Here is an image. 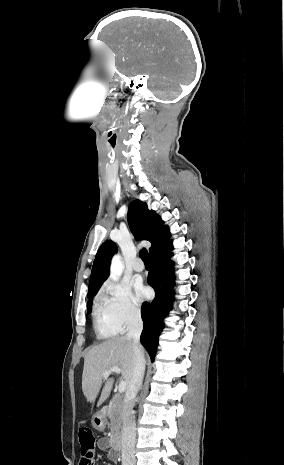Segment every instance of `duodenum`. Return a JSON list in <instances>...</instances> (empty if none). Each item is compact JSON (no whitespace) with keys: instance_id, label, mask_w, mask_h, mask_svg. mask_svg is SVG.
Wrapping results in <instances>:
<instances>
[{"instance_id":"1","label":"duodenum","mask_w":284,"mask_h":465,"mask_svg":"<svg viewBox=\"0 0 284 465\" xmlns=\"http://www.w3.org/2000/svg\"><path fill=\"white\" fill-rule=\"evenodd\" d=\"M98 415L102 418L103 415H104V411L103 410H100L98 412ZM113 445H114V449H116L117 451L120 450L122 448V445H123V436L121 433L119 432H115L114 436H113Z\"/></svg>"}]
</instances>
